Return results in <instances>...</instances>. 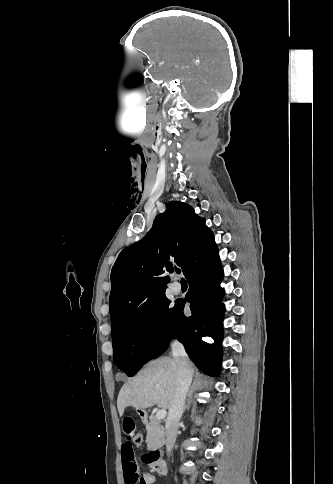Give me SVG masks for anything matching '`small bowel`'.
Wrapping results in <instances>:
<instances>
[{
    "instance_id": "obj_1",
    "label": "small bowel",
    "mask_w": 333,
    "mask_h": 484,
    "mask_svg": "<svg viewBox=\"0 0 333 484\" xmlns=\"http://www.w3.org/2000/svg\"><path fill=\"white\" fill-rule=\"evenodd\" d=\"M122 430L127 441L122 444L121 458L125 484H151L154 477L148 472H140L136 461L133 446L130 440L136 434V422L130 415H125L122 420Z\"/></svg>"
}]
</instances>
